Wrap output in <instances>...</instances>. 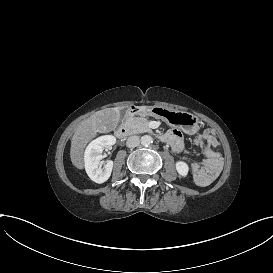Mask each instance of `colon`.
I'll use <instances>...</instances> for the list:
<instances>
[{
    "label": "colon",
    "instance_id": "1",
    "mask_svg": "<svg viewBox=\"0 0 273 273\" xmlns=\"http://www.w3.org/2000/svg\"><path fill=\"white\" fill-rule=\"evenodd\" d=\"M205 166L203 168L204 175L206 176V179L215 178L217 175L218 169L221 167L222 159L218 154L211 155L206 161ZM204 185L207 184V182H203Z\"/></svg>",
    "mask_w": 273,
    "mask_h": 273
}]
</instances>
